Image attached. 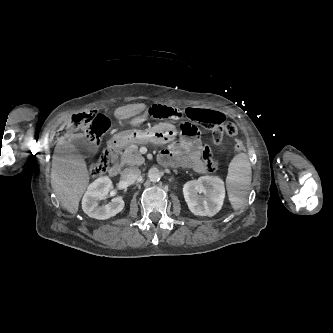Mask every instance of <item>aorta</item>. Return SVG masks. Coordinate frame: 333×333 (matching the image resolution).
Returning a JSON list of instances; mask_svg holds the SVG:
<instances>
[{
	"instance_id": "1",
	"label": "aorta",
	"mask_w": 333,
	"mask_h": 333,
	"mask_svg": "<svg viewBox=\"0 0 333 333\" xmlns=\"http://www.w3.org/2000/svg\"><path fill=\"white\" fill-rule=\"evenodd\" d=\"M148 178L150 179V181L152 182H157L160 180L161 178V173L157 168H151L148 171Z\"/></svg>"
}]
</instances>
